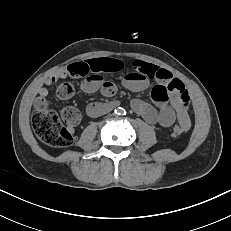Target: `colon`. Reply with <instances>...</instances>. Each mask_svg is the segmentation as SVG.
Masks as SVG:
<instances>
[{"label": "colon", "instance_id": "1", "mask_svg": "<svg viewBox=\"0 0 231 231\" xmlns=\"http://www.w3.org/2000/svg\"><path fill=\"white\" fill-rule=\"evenodd\" d=\"M68 76H81L80 67L71 64L67 67ZM73 86L69 82L62 83L56 91L61 99H67L73 94ZM80 121V114L73 107H65L60 115L47 105L36 107L32 114V126L36 136L45 144L55 148L69 147L74 140L71 128ZM187 131L182 124H176L172 129L173 136H180Z\"/></svg>", "mask_w": 231, "mask_h": 231}]
</instances>
